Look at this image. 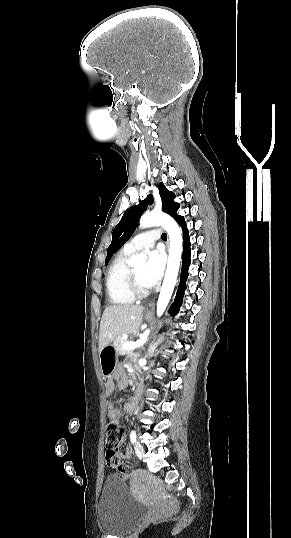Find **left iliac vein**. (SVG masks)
Listing matches in <instances>:
<instances>
[{
	"label": "left iliac vein",
	"instance_id": "obj_1",
	"mask_svg": "<svg viewBox=\"0 0 291 538\" xmlns=\"http://www.w3.org/2000/svg\"><path fill=\"white\" fill-rule=\"evenodd\" d=\"M134 450H135V453L138 457H142L143 454H144V448L143 446L139 443V442H136L135 445H134Z\"/></svg>",
	"mask_w": 291,
	"mask_h": 538
}]
</instances>
